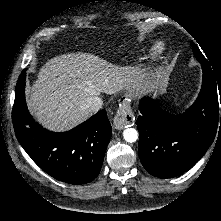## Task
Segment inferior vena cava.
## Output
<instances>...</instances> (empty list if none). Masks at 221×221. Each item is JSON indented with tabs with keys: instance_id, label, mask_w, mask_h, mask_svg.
Returning <instances> with one entry per match:
<instances>
[{
	"instance_id": "inferior-vena-cava-1",
	"label": "inferior vena cava",
	"mask_w": 221,
	"mask_h": 221,
	"mask_svg": "<svg viewBox=\"0 0 221 221\" xmlns=\"http://www.w3.org/2000/svg\"><path fill=\"white\" fill-rule=\"evenodd\" d=\"M103 105V100L98 97V96H92L87 98L85 104H84V108H88L92 111H97L99 110Z\"/></svg>"
}]
</instances>
